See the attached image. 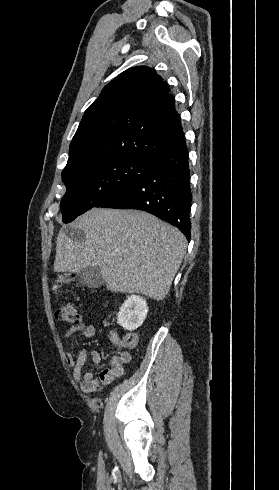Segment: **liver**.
Returning a JSON list of instances; mask_svg holds the SVG:
<instances>
[{
	"label": "liver",
	"mask_w": 279,
	"mask_h": 490,
	"mask_svg": "<svg viewBox=\"0 0 279 490\" xmlns=\"http://www.w3.org/2000/svg\"><path fill=\"white\" fill-rule=\"evenodd\" d=\"M73 224L84 230L86 240L73 242L60 230L54 272L77 274L99 266L111 292L152 300L167 296L187 248L177 228L140 210L106 208H92Z\"/></svg>",
	"instance_id": "6515ba94"
}]
</instances>
